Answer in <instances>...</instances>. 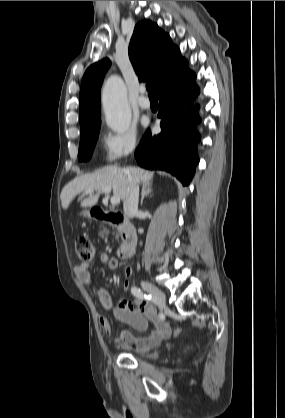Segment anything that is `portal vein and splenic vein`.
<instances>
[{
	"label": "portal vein and splenic vein",
	"instance_id": "18ae733b",
	"mask_svg": "<svg viewBox=\"0 0 285 418\" xmlns=\"http://www.w3.org/2000/svg\"><path fill=\"white\" fill-rule=\"evenodd\" d=\"M111 188L110 187H104V188H102L101 189V191L103 192V193H106V194H109V193H111ZM93 190L92 189H88L87 190V193H91ZM110 202H111V204L112 205H117V204H119L120 203V197H118V196H113V197H111V199H110Z\"/></svg>",
	"mask_w": 285,
	"mask_h": 418
}]
</instances>
